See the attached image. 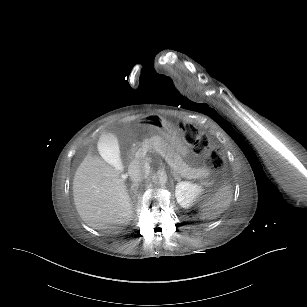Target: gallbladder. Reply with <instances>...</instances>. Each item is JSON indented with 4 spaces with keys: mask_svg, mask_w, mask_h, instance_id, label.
I'll return each mask as SVG.
<instances>
[{
    "mask_svg": "<svg viewBox=\"0 0 307 307\" xmlns=\"http://www.w3.org/2000/svg\"><path fill=\"white\" fill-rule=\"evenodd\" d=\"M96 147L99 149L100 155L105 161L114 165L115 171L120 173L122 171V159L120 153V143L118 137L115 134H100L99 138L95 142ZM122 179L127 177L125 172L120 174Z\"/></svg>",
    "mask_w": 307,
    "mask_h": 307,
    "instance_id": "bac80fb5",
    "label": "gallbladder"
}]
</instances>
